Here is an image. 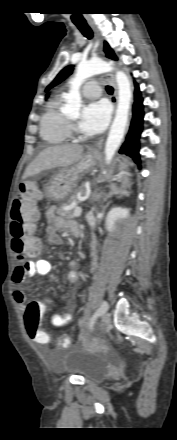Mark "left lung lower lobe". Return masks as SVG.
Masks as SVG:
<instances>
[{
	"instance_id": "left-lung-lower-lobe-1",
	"label": "left lung lower lobe",
	"mask_w": 177,
	"mask_h": 440,
	"mask_svg": "<svg viewBox=\"0 0 177 440\" xmlns=\"http://www.w3.org/2000/svg\"><path fill=\"white\" fill-rule=\"evenodd\" d=\"M134 105H133V116L130 125V129L124 144L120 149V153L126 154L133 158V160L140 164L139 158V136L142 132L143 123V98L141 97V92L139 90V85L135 82V92H134Z\"/></svg>"
}]
</instances>
